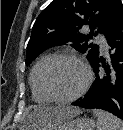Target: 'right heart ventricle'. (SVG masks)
<instances>
[{
	"instance_id": "e07e8e85",
	"label": "right heart ventricle",
	"mask_w": 123,
	"mask_h": 130,
	"mask_svg": "<svg viewBox=\"0 0 123 130\" xmlns=\"http://www.w3.org/2000/svg\"><path fill=\"white\" fill-rule=\"evenodd\" d=\"M53 56L51 53L43 54L36 60L30 70L29 84L32 98L36 103H48L52 101L43 89L42 75L46 65Z\"/></svg>"
}]
</instances>
